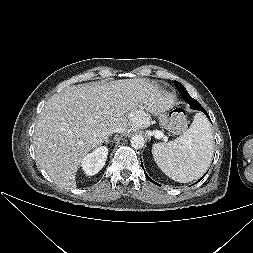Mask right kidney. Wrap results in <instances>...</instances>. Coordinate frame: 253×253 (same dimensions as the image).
Wrapping results in <instances>:
<instances>
[{
  "label": "right kidney",
  "mask_w": 253,
  "mask_h": 253,
  "mask_svg": "<svg viewBox=\"0 0 253 253\" xmlns=\"http://www.w3.org/2000/svg\"><path fill=\"white\" fill-rule=\"evenodd\" d=\"M108 155V148L100 146L96 148L92 153L87 154L81 162L84 172L91 176L97 174L105 165V161Z\"/></svg>",
  "instance_id": "ca27d5eb"
}]
</instances>
